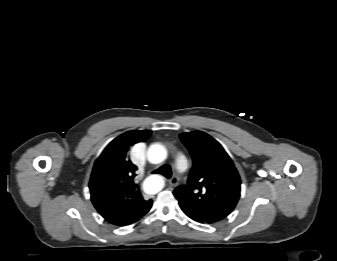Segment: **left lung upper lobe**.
I'll list each match as a JSON object with an SVG mask.
<instances>
[{"label":"left lung upper lobe","mask_w":337,"mask_h":261,"mask_svg":"<svg viewBox=\"0 0 337 261\" xmlns=\"http://www.w3.org/2000/svg\"><path fill=\"white\" fill-rule=\"evenodd\" d=\"M189 149L193 167L187 185L178 186L174 195L184 212L207 223L226 218L240 197V177L223 147L202 131L181 133Z\"/></svg>","instance_id":"1"}]
</instances>
